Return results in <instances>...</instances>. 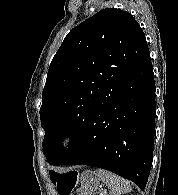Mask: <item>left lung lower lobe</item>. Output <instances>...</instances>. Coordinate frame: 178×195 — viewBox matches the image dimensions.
Listing matches in <instances>:
<instances>
[{"label":"left lung lower lobe","instance_id":"1","mask_svg":"<svg viewBox=\"0 0 178 195\" xmlns=\"http://www.w3.org/2000/svg\"><path fill=\"white\" fill-rule=\"evenodd\" d=\"M155 115L149 55L98 106L83 135L57 165L103 168L144 190L152 165Z\"/></svg>","mask_w":178,"mask_h":195}]
</instances>
